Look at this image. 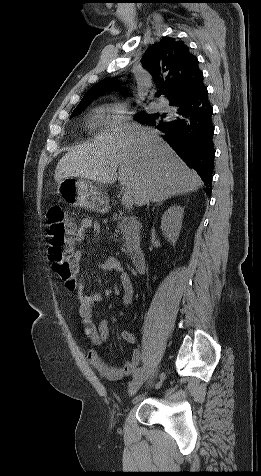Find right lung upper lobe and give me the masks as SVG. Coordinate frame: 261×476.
Here are the masks:
<instances>
[{
  "instance_id": "obj_1",
  "label": "right lung upper lobe",
  "mask_w": 261,
  "mask_h": 476,
  "mask_svg": "<svg viewBox=\"0 0 261 476\" xmlns=\"http://www.w3.org/2000/svg\"><path fill=\"white\" fill-rule=\"evenodd\" d=\"M142 63L154 77L156 87L166 89L170 105L187 98L203 84L197 58L178 39L164 37L151 46ZM114 89H120L114 78L104 79L85 93L77 107L89 105L94 98Z\"/></svg>"
}]
</instances>
